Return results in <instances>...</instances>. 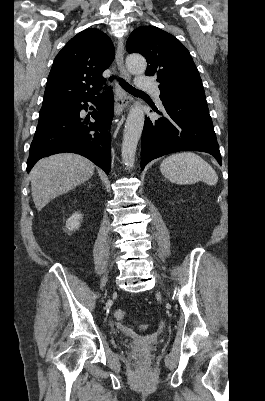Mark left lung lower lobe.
<instances>
[{
    "instance_id": "left-lung-lower-lobe-1",
    "label": "left lung lower lobe",
    "mask_w": 265,
    "mask_h": 401,
    "mask_svg": "<svg viewBox=\"0 0 265 401\" xmlns=\"http://www.w3.org/2000/svg\"><path fill=\"white\" fill-rule=\"evenodd\" d=\"M165 117L145 118L142 132L141 169L151 160L178 151H201L221 155L206 99L160 97ZM158 112L157 110H154ZM159 113V112H158Z\"/></svg>"
}]
</instances>
